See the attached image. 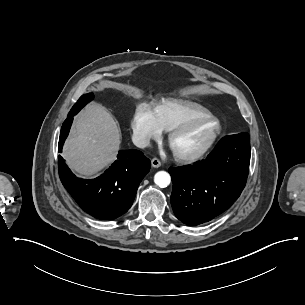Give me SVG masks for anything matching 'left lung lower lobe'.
<instances>
[{
  "label": "left lung lower lobe",
  "instance_id": "1",
  "mask_svg": "<svg viewBox=\"0 0 305 305\" xmlns=\"http://www.w3.org/2000/svg\"><path fill=\"white\" fill-rule=\"evenodd\" d=\"M249 164V134L244 132L224 137L201 162L170 168L175 216L196 226L223 213L244 189Z\"/></svg>",
  "mask_w": 305,
  "mask_h": 305
}]
</instances>
